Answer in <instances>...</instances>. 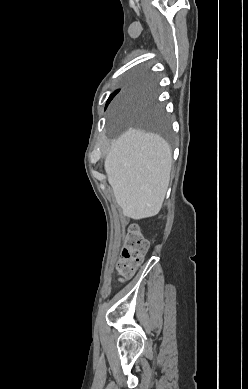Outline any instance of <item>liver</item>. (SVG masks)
Returning a JSON list of instances; mask_svg holds the SVG:
<instances>
[{
  "mask_svg": "<svg viewBox=\"0 0 248 389\" xmlns=\"http://www.w3.org/2000/svg\"><path fill=\"white\" fill-rule=\"evenodd\" d=\"M104 166L125 216L138 220L160 211L172 167V153L162 137L131 128L111 145Z\"/></svg>",
  "mask_w": 248,
  "mask_h": 389,
  "instance_id": "1",
  "label": "liver"
}]
</instances>
